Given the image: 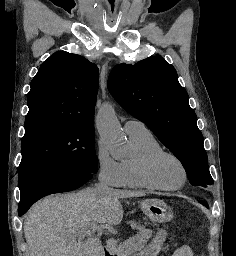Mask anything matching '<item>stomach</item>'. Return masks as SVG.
I'll return each mask as SVG.
<instances>
[{
    "mask_svg": "<svg viewBox=\"0 0 236 256\" xmlns=\"http://www.w3.org/2000/svg\"><path fill=\"white\" fill-rule=\"evenodd\" d=\"M141 207L147 217L154 223H166L173 217L167 204L158 199H148L141 202ZM166 238L165 230H159L153 240L137 256H157Z\"/></svg>",
    "mask_w": 236,
    "mask_h": 256,
    "instance_id": "0dacf381",
    "label": "stomach"
}]
</instances>
